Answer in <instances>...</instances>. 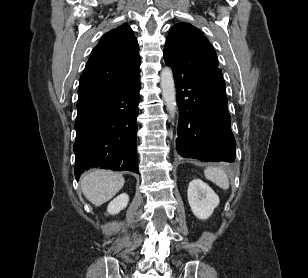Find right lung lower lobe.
<instances>
[{
    "instance_id": "obj_1",
    "label": "right lung lower lobe",
    "mask_w": 308,
    "mask_h": 278,
    "mask_svg": "<svg viewBox=\"0 0 308 278\" xmlns=\"http://www.w3.org/2000/svg\"><path fill=\"white\" fill-rule=\"evenodd\" d=\"M140 77L113 94L77 101L75 177L89 167L138 173L136 156Z\"/></svg>"
}]
</instances>
